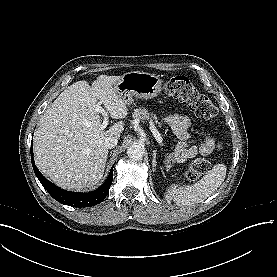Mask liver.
Returning <instances> with one entry per match:
<instances>
[{"label":"liver","instance_id":"1","mask_svg":"<svg viewBox=\"0 0 277 277\" xmlns=\"http://www.w3.org/2000/svg\"><path fill=\"white\" fill-rule=\"evenodd\" d=\"M120 78L101 75L92 86L77 81L41 116L34 134L35 163L59 187L81 191L102 179L108 157L104 142L110 136L119 138L124 123L101 130L96 106L103 104L114 119L127 116V105L114 89Z\"/></svg>","mask_w":277,"mask_h":277}]
</instances>
